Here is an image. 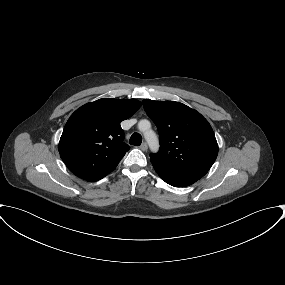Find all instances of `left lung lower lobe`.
<instances>
[{"mask_svg":"<svg viewBox=\"0 0 285 285\" xmlns=\"http://www.w3.org/2000/svg\"><path fill=\"white\" fill-rule=\"evenodd\" d=\"M153 167L158 175L169 185L174 187L189 186L198 181L203 176L181 168L168 167L161 162L151 159Z\"/></svg>","mask_w":285,"mask_h":285,"instance_id":"0a47b994","label":"left lung lower lobe"}]
</instances>
